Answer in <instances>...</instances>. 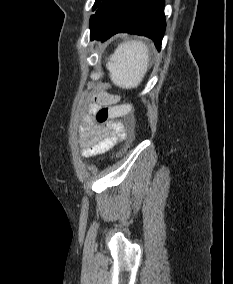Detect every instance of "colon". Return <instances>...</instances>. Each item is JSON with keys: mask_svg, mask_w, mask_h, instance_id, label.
<instances>
[{"mask_svg": "<svg viewBox=\"0 0 233 284\" xmlns=\"http://www.w3.org/2000/svg\"><path fill=\"white\" fill-rule=\"evenodd\" d=\"M132 104H122L113 107H102L97 110L94 115V120L98 125H104L112 118L125 117L131 113ZM128 142L132 141V134L128 137Z\"/></svg>", "mask_w": 233, "mask_h": 284, "instance_id": "colon-1", "label": "colon"}]
</instances>
